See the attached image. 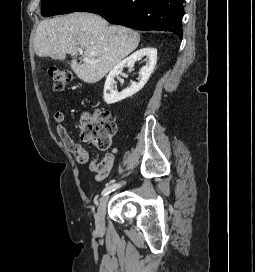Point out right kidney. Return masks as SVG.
<instances>
[{
    "label": "right kidney",
    "instance_id": "right-kidney-1",
    "mask_svg": "<svg viewBox=\"0 0 255 272\" xmlns=\"http://www.w3.org/2000/svg\"><path fill=\"white\" fill-rule=\"evenodd\" d=\"M142 57H146V65L139 72V82H132L131 86L118 92L114 89V79L122 73L125 67H133L135 62ZM157 63V50L152 47H145L137 50L129 57L118 63L108 74L104 85V101L107 104H113L123 99L133 96L141 90L147 83L151 73Z\"/></svg>",
    "mask_w": 255,
    "mask_h": 272
}]
</instances>
